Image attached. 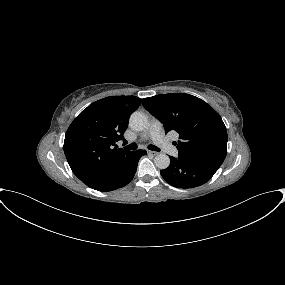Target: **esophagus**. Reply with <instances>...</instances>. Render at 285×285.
<instances>
[{"label": "esophagus", "mask_w": 285, "mask_h": 285, "mask_svg": "<svg viewBox=\"0 0 285 285\" xmlns=\"http://www.w3.org/2000/svg\"><path fill=\"white\" fill-rule=\"evenodd\" d=\"M148 154L151 156H156L158 153L155 151H148Z\"/></svg>", "instance_id": "1"}]
</instances>
